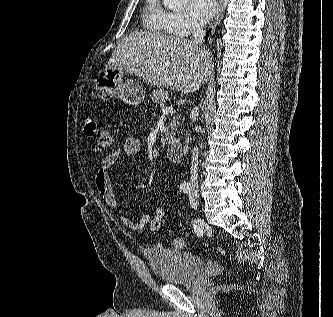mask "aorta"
Instances as JSON below:
<instances>
[{"mask_svg":"<svg viewBox=\"0 0 333 317\" xmlns=\"http://www.w3.org/2000/svg\"><path fill=\"white\" fill-rule=\"evenodd\" d=\"M188 0H164V5L169 9H180L187 4Z\"/></svg>","mask_w":333,"mask_h":317,"instance_id":"aorta-1","label":"aorta"}]
</instances>
